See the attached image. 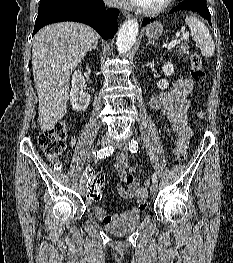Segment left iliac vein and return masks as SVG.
I'll return each instance as SVG.
<instances>
[{
	"label": "left iliac vein",
	"mask_w": 233,
	"mask_h": 263,
	"mask_svg": "<svg viewBox=\"0 0 233 263\" xmlns=\"http://www.w3.org/2000/svg\"><path fill=\"white\" fill-rule=\"evenodd\" d=\"M116 147L118 149L127 150L128 149V143L125 140L117 141L115 143ZM150 191L152 194H156L158 191V184L156 182H153L150 188Z\"/></svg>",
	"instance_id": "left-iliac-vein-1"
}]
</instances>
